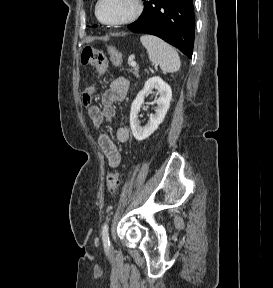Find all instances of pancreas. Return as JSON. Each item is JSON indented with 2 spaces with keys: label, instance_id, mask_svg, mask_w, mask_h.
<instances>
[{
  "label": "pancreas",
  "instance_id": "pancreas-1",
  "mask_svg": "<svg viewBox=\"0 0 273 288\" xmlns=\"http://www.w3.org/2000/svg\"><path fill=\"white\" fill-rule=\"evenodd\" d=\"M133 74L137 77L138 73H139V68L138 67H134L132 70Z\"/></svg>",
  "mask_w": 273,
  "mask_h": 288
}]
</instances>
